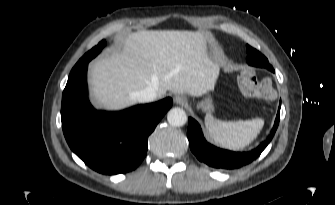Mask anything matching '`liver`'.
I'll return each instance as SVG.
<instances>
[{"label":"liver","mask_w":335,"mask_h":205,"mask_svg":"<svg viewBox=\"0 0 335 205\" xmlns=\"http://www.w3.org/2000/svg\"><path fill=\"white\" fill-rule=\"evenodd\" d=\"M208 36L184 30H141L122 40L121 49L93 62L91 96L100 108L119 110L147 87L202 96L212 89L220 65L207 52Z\"/></svg>","instance_id":"1"}]
</instances>
